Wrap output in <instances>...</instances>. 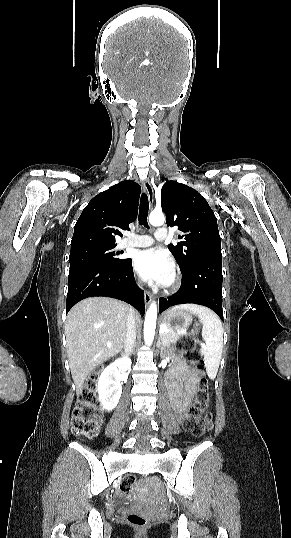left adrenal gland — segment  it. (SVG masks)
<instances>
[{"label": "left adrenal gland", "instance_id": "a2214340", "mask_svg": "<svg viewBox=\"0 0 291 538\" xmlns=\"http://www.w3.org/2000/svg\"><path fill=\"white\" fill-rule=\"evenodd\" d=\"M157 347L161 349L160 355L163 356L165 345L163 342L160 341V338L158 339Z\"/></svg>", "mask_w": 291, "mask_h": 538}]
</instances>
